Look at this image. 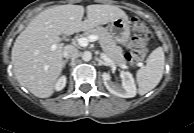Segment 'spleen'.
<instances>
[{"mask_svg": "<svg viewBox=\"0 0 194 133\" xmlns=\"http://www.w3.org/2000/svg\"><path fill=\"white\" fill-rule=\"evenodd\" d=\"M164 65V52L162 47H158L151 52L146 65L141 67L136 73L140 95L148 93L158 85L162 79Z\"/></svg>", "mask_w": 194, "mask_h": 133, "instance_id": "3e777b00", "label": "spleen"}]
</instances>
